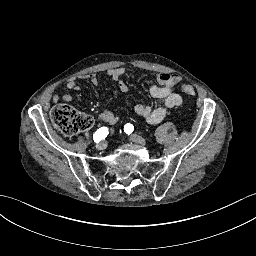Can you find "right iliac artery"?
<instances>
[{"label":"right iliac artery","instance_id":"right-iliac-artery-1","mask_svg":"<svg viewBox=\"0 0 256 256\" xmlns=\"http://www.w3.org/2000/svg\"><path fill=\"white\" fill-rule=\"evenodd\" d=\"M108 135V128L107 127H101L99 128L95 134L93 135L94 142L98 143L101 140L105 139V137Z\"/></svg>","mask_w":256,"mask_h":256}]
</instances>
